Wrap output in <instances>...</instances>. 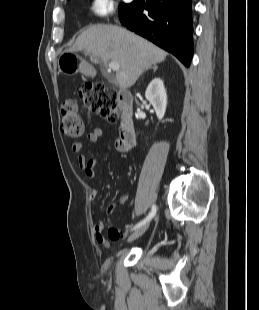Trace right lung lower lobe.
Listing matches in <instances>:
<instances>
[{"label": "right lung lower lobe", "instance_id": "right-lung-lower-lobe-1", "mask_svg": "<svg viewBox=\"0 0 259 310\" xmlns=\"http://www.w3.org/2000/svg\"><path fill=\"white\" fill-rule=\"evenodd\" d=\"M148 10L144 15L143 10ZM129 30L175 55L189 67L193 55L191 0H139L119 15Z\"/></svg>", "mask_w": 259, "mask_h": 310}]
</instances>
